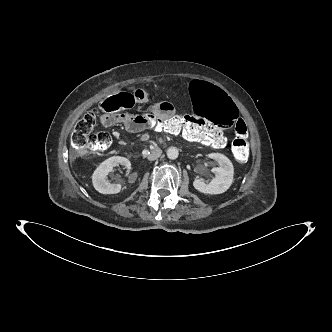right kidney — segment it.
<instances>
[{
    "mask_svg": "<svg viewBox=\"0 0 332 332\" xmlns=\"http://www.w3.org/2000/svg\"><path fill=\"white\" fill-rule=\"evenodd\" d=\"M117 165H124L128 170L131 168L130 161L121 156H113L103 161L94 171L92 175V183L99 193L117 194L121 191V185L110 183L106 178L112 169Z\"/></svg>",
    "mask_w": 332,
    "mask_h": 332,
    "instance_id": "1",
    "label": "right kidney"
}]
</instances>
